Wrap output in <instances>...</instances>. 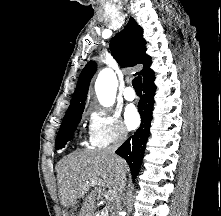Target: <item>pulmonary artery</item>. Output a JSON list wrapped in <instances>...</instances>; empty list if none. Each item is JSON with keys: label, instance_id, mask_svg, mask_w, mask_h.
<instances>
[{"label": "pulmonary artery", "instance_id": "1", "mask_svg": "<svg viewBox=\"0 0 221 216\" xmlns=\"http://www.w3.org/2000/svg\"><path fill=\"white\" fill-rule=\"evenodd\" d=\"M123 96L127 101H133L136 98V93L132 87L128 86L125 88Z\"/></svg>", "mask_w": 221, "mask_h": 216}]
</instances>
